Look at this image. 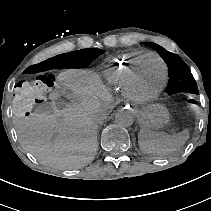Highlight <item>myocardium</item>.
Segmentation results:
<instances>
[{
  "label": "myocardium",
  "mask_w": 211,
  "mask_h": 211,
  "mask_svg": "<svg viewBox=\"0 0 211 211\" xmlns=\"http://www.w3.org/2000/svg\"><path fill=\"white\" fill-rule=\"evenodd\" d=\"M148 59H154L160 64V66L162 68V81H161L160 86L154 92L144 93L140 90L139 85H138L140 70L132 72L130 75V80H129V97L133 101H135L136 103H139V104H144V103H147V102H150V101L156 99L162 92V90L164 88L165 81H166V75H167L166 65L163 62V60L158 56L145 55L144 57H142V60L140 62V69L142 68L144 62Z\"/></svg>",
  "instance_id": "obj_1"
}]
</instances>
